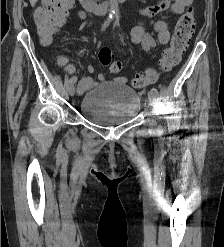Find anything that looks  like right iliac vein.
<instances>
[{
	"label": "right iliac vein",
	"instance_id": "obj_1",
	"mask_svg": "<svg viewBox=\"0 0 224 247\" xmlns=\"http://www.w3.org/2000/svg\"><path fill=\"white\" fill-rule=\"evenodd\" d=\"M74 94H75V86L71 85L70 88H69V95L73 96Z\"/></svg>",
	"mask_w": 224,
	"mask_h": 247
}]
</instances>
